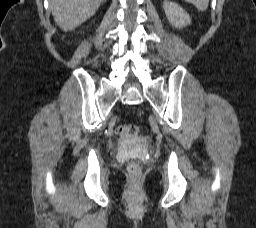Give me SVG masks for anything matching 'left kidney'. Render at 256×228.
Masks as SVG:
<instances>
[{
  "label": "left kidney",
  "instance_id": "left-kidney-1",
  "mask_svg": "<svg viewBox=\"0 0 256 228\" xmlns=\"http://www.w3.org/2000/svg\"><path fill=\"white\" fill-rule=\"evenodd\" d=\"M163 8L169 22L176 28H183L190 25L191 18L185 10L175 2L165 1Z\"/></svg>",
  "mask_w": 256,
  "mask_h": 228
}]
</instances>
